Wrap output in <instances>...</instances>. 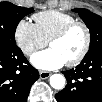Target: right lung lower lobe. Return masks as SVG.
<instances>
[{"mask_svg": "<svg viewBox=\"0 0 102 102\" xmlns=\"http://www.w3.org/2000/svg\"><path fill=\"white\" fill-rule=\"evenodd\" d=\"M38 71L24 57L21 49L0 46V100L25 102Z\"/></svg>", "mask_w": 102, "mask_h": 102, "instance_id": "1", "label": "right lung lower lobe"}]
</instances>
